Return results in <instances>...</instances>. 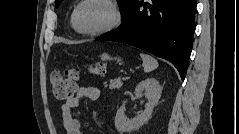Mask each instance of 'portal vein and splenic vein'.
I'll list each match as a JSON object with an SVG mask.
<instances>
[{
    "label": "portal vein and splenic vein",
    "instance_id": "1",
    "mask_svg": "<svg viewBox=\"0 0 239 134\" xmlns=\"http://www.w3.org/2000/svg\"><path fill=\"white\" fill-rule=\"evenodd\" d=\"M128 78H129V77H123L122 79H123V80H126V79H128Z\"/></svg>",
    "mask_w": 239,
    "mask_h": 134
}]
</instances>
